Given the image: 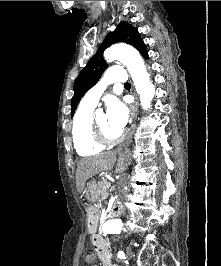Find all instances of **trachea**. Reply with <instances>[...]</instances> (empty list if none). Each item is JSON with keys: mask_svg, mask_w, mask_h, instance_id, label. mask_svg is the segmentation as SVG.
Returning <instances> with one entry per match:
<instances>
[{"mask_svg": "<svg viewBox=\"0 0 221 266\" xmlns=\"http://www.w3.org/2000/svg\"><path fill=\"white\" fill-rule=\"evenodd\" d=\"M124 86H129V87H130L131 85H130L129 82H126V83L124 84Z\"/></svg>", "mask_w": 221, "mask_h": 266, "instance_id": "trachea-1", "label": "trachea"}]
</instances>
